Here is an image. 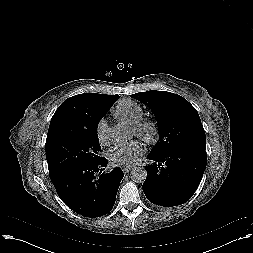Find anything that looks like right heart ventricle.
Wrapping results in <instances>:
<instances>
[{
    "label": "right heart ventricle",
    "mask_w": 253,
    "mask_h": 253,
    "mask_svg": "<svg viewBox=\"0 0 253 253\" xmlns=\"http://www.w3.org/2000/svg\"><path fill=\"white\" fill-rule=\"evenodd\" d=\"M114 116L128 124H135L144 116L143 108L132 100H121L113 110Z\"/></svg>",
    "instance_id": "obj_1"
}]
</instances>
